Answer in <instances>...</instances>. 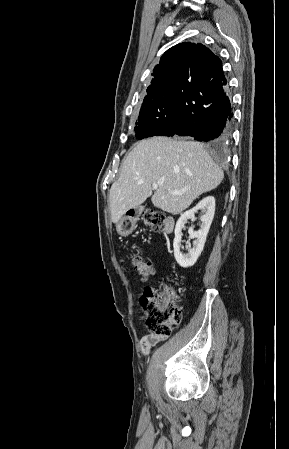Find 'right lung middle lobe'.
Masks as SVG:
<instances>
[{
  "label": "right lung middle lobe",
  "mask_w": 289,
  "mask_h": 449,
  "mask_svg": "<svg viewBox=\"0 0 289 449\" xmlns=\"http://www.w3.org/2000/svg\"><path fill=\"white\" fill-rule=\"evenodd\" d=\"M177 115V105L172 92H164L144 98L138 123L134 130L136 138L151 137L163 124L172 122Z\"/></svg>",
  "instance_id": "dd1d6c3e"
}]
</instances>
